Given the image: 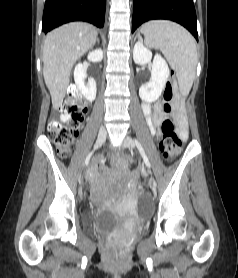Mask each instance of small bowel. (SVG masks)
Segmentation results:
<instances>
[{
  "instance_id": "1",
  "label": "small bowel",
  "mask_w": 238,
  "mask_h": 278,
  "mask_svg": "<svg viewBox=\"0 0 238 278\" xmlns=\"http://www.w3.org/2000/svg\"><path fill=\"white\" fill-rule=\"evenodd\" d=\"M164 100H159L155 103L152 108L149 103H144L142 105V111L145 116L146 122L152 134L160 133V125L167 117V113H165L163 109ZM175 111H174V121L177 126L178 134L182 139H186L188 136L187 128H186V120L183 112L182 102L180 99L175 100L174 102ZM62 121H67L69 119L68 115L63 114L61 116Z\"/></svg>"
}]
</instances>
